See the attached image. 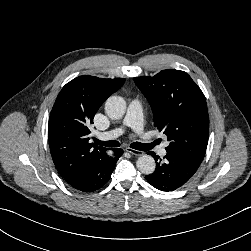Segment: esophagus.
Returning a JSON list of instances; mask_svg holds the SVG:
<instances>
[{
  "mask_svg": "<svg viewBox=\"0 0 251 251\" xmlns=\"http://www.w3.org/2000/svg\"><path fill=\"white\" fill-rule=\"evenodd\" d=\"M128 153L132 154V155H135V156H141L143 155V152L141 151H138V150H135V149H132V148H126L125 149Z\"/></svg>",
  "mask_w": 251,
  "mask_h": 251,
  "instance_id": "34e87169",
  "label": "esophagus"
}]
</instances>
